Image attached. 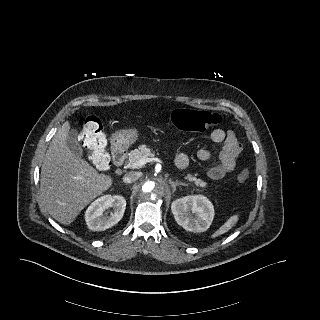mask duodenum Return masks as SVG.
Instances as JSON below:
<instances>
[{"instance_id":"duodenum-1","label":"duodenum","mask_w":320,"mask_h":320,"mask_svg":"<svg viewBox=\"0 0 320 320\" xmlns=\"http://www.w3.org/2000/svg\"><path fill=\"white\" fill-rule=\"evenodd\" d=\"M126 149L120 144H116L113 148V161L116 166H122L126 159Z\"/></svg>"}]
</instances>
